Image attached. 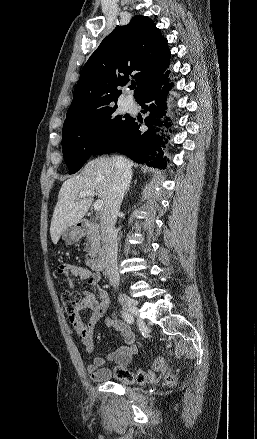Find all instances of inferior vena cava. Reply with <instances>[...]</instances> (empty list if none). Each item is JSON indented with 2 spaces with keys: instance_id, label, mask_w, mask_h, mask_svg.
Returning <instances> with one entry per match:
<instances>
[{
  "instance_id": "1",
  "label": "inferior vena cava",
  "mask_w": 257,
  "mask_h": 439,
  "mask_svg": "<svg viewBox=\"0 0 257 439\" xmlns=\"http://www.w3.org/2000/svg\"><path fill=\"white\" fill-rule=\"evenodd\" d=\"M115 176L108 198L101 212V237H102V260L105 274L110 284L114 287L119 285V273L117 266V231L115 223L117 214L122 203L124 193L130 184L132 171L130 163L123 157H115Z\"/></svg>"
}]
</instances>
